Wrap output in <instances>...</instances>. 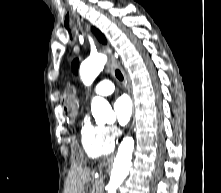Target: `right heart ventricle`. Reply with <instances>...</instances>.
<instances>
[{"label":"right heart ventricle","instance_id":"1","mask_svg":"<svg viewBox=\"0 0 221 193\" xmlns=\"http://www.w3.org/2000/svg\"><path fill=\"white\" fill-rule=\"evenodd\" d=\"M80 141L84 152L91 158L107 155L114 149V142L107 138L105 127L93 123L88 116L81 123Z\"/></svg>","mask_w":221,"mask_h":193}]
</instances>
